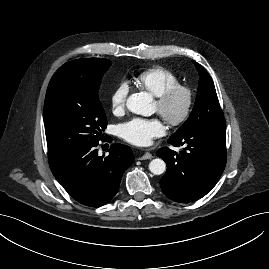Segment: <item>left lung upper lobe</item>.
Returning a JSON list of instances; mask_svg holds the SVG:
<instances>
[{"mask_svg": "<svg viewBox=\"0 0 269 269\" xmlns=\"http://www.w3.org/2000/svg\"><path fill=\"white\" fill-rule=\"evenodd\" d=\"M194 64L200 78L196 101L189 118L170 138L178 137L196 127L225 125V118L210 75L200 64L197 62Z\"/></svg>", "mask_w": 269, "mask_h": 269, "instance_id": "1", "label": "left lung upper lobe"}]
</instances>
